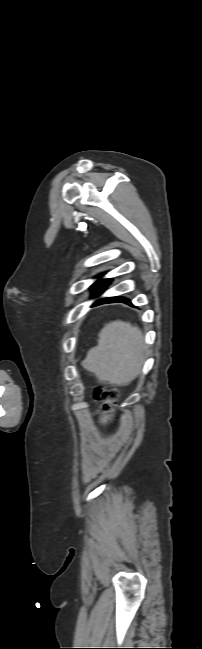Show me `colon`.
Here are the masks:
<instances>
[{
	"mask_svg": "<svg viewBox=\"0 0 202 649\" xmlns=\"http://www.w3.org/2000/svg\"><path fill=\"white\" fill-rule=\"evenodd\" d=\"M95 400L100 404L97 410L98 422L101 425H108L114 416V406L118 398V391L115 387L104 386L96 389Z\"/></svg>",
	"mask_w": 202,
	"mask_h": 649,
	"instance_id": "1",
	"label": "colon"
}]
</instances>
